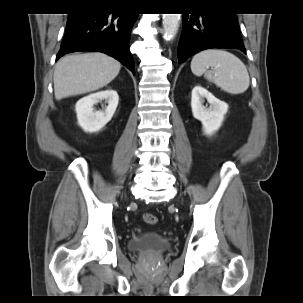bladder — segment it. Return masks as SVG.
Segmentation results:
<instances>
[{
	"label": "bladder",
	"mask_w": 303,
	"mask_h": 303,
	"mask_svg": "<svg viewBox=\"0 0 303 303\" xmlns=\"http://www.w3.org/2000/svg\"><path fill=\"white\" fill-rule=\"evenodd\" d=\"M127 247L137 253H157L169 250L171 241L154 231L147 230L129 239Z\"/></svg>",
	"instance_id": "31cf9c89"
}]
</instances>
